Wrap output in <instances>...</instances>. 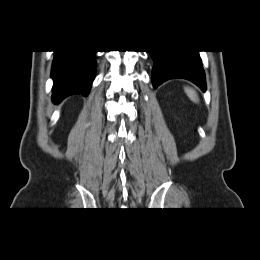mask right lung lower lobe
<instances>
[{
	"mask_svg": "<svg viewBox=\"0 0 260 260\" xmlns=\"http://www.w3.org/2000/svg\"><path fill=\"white\" fill-rule=\"evenodd\" d=\"M96 51H55L52 65L55 104L72 94L87 96L95 77Z\"/></svg>",
	"mask_w": 260,
	"mask_h": 260,
	"instance_id": "right-lung-lower-lobe-1",
	"label": "right lung lower lobe"
}]
</instances>
